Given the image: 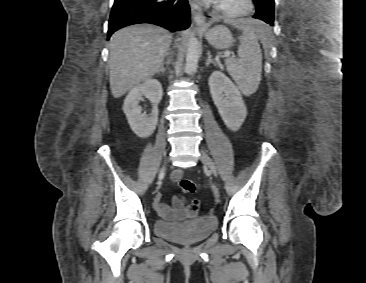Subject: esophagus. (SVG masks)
I'll return each mask as SVG.
<instances>
[{
    "label": "esophagus",
    "mask_w": 366,
    "mask_h": 283,
    "mask_svg": "<svg viewBox=\"0 0 366 283\" xmlns=\"http://www.w3.org/2000/svg\"><path fill=\"white\" fill-rule=\"evenodd\" d=\"M189 4L191 7L194 22L197 25L198 29L206 30L208 28V24L205 21V17L201 7L196 3L195 0H189Z\"/></svg>",
    "instance_id": "esophagus-1"
}]
</instances>
